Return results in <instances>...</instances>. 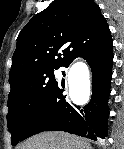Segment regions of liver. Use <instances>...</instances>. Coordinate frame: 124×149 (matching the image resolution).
Masks as SVG:
<instances>
[{
    "label": "liver",
    "instance_id": "liver-1",
    "mask_svg": "<svg viewBox=\"0 0 124 149\" xmlns=\"http://www.w3.org/2000/svg\"><path fill=\"white\" fill-rule=\"evenodd\" d=\"M20 149H92L85 140L68 133H41L27 140Z\"/></svg>",
    "mask_w": 124,
    "mask_h": 149
}]
</instances>
